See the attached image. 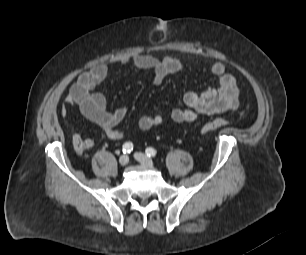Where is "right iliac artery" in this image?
<instances>
[{"label": "right iliac artery", "mask_w": 306, "mask_h": 255, "mask_svg": "<svg viewBox=\"0 0 306 255\" xmlns=\"http://www.w3.org/2000/svg\"><path fill=\"white\" fill-rule=\"evenodd\" d=\"M133 150V144L131 142H126L123 144L122 151L123 153H130Z\"/></svg>", "instance_id": "right-iliac-artery-1"}]
</instances>
